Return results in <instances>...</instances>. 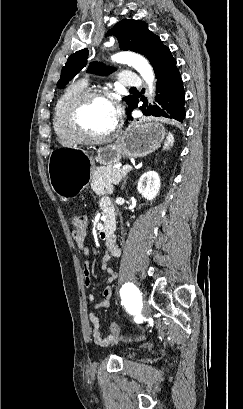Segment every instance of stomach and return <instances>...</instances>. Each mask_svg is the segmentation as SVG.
I'll list each match as a JSON object with an SVG mask.
<instances>
[{"label": "stomach", "instance_id": "stomach-1", "mask_svg": "<svg viewBox=\"0 0 243 409\" xmlns=\"http://www.w3.org/2000/svg\"><path fill=\"white\" fill-rule=\"evenodd\" d=\"M164 136L165 128L159 122H136L113 144L99 148L95 159L88 150L58 147L51 152L48 161L51 187L63 197L79 194L91 178L94 161L113 165L122 157L147 156L160 147Z\"/></svg>", "mask_w": 243, "mask_h": 409}]
</instances>
